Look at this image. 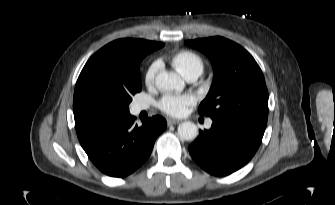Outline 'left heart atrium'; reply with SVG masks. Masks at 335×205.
<instances>
[{
  "label": "left heart atrium",
  "mask_w": 335,
  "mask_h": 205,
  "mask_svg": "<svg viewBox=\"0 0 335 205\" xmlns=\"http://www.w3.org/2000/svg\"><path fill=\"white\" fill-rule=\"evenodd\" d=\"M196 102V98L189 93L186 94H166L159 101V107L165 113L172 116H182L189 106Z\"/></svg>",
  "instance_id": "obj_1"
}]
</instances>
